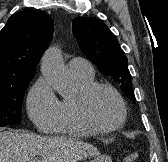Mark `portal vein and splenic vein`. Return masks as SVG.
<instances>
[{"label": "portal vein and splenic vein", "mask_w": 168, "mask_h": 162, "mask_svg": "<svg viewBox=\"0 0 168 162\" xmlns=\"http://www.w3.org/2000/svg\"><path fill=\"white\" fill-rule=\"evenodd\" d=\"M30 162H36V160H31Z\"/></svg>", "instance_id": "obj_1"}]
</instances>
